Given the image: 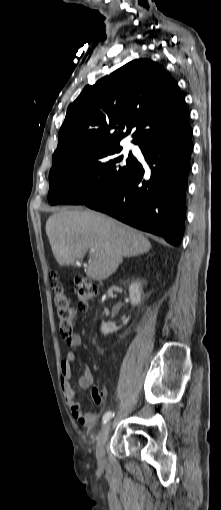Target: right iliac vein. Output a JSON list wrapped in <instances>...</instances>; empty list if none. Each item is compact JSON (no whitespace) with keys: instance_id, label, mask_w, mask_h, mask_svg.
<instances>
[{"instance_id":"63e3f726","label":"right iliac vein","mask_w":221,"mask_h":510,"mask_svg":"<svg viewBox=\"0 0 221 510\" xmlns=\"http://www.w3.org/2000/svg\"><path fill=\"white\" fill-rule=\"evenodd\" d=\"M110 426H111V423L106 422L102 426V428L98 434V437H97L96 457L100 464L103 463V460H104L105 444H106V441H107V438L109 435Z\"/></svg>"}]
</instances>
